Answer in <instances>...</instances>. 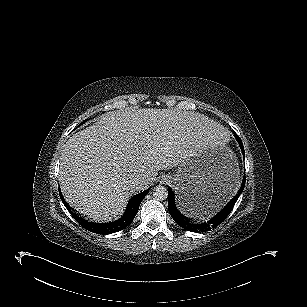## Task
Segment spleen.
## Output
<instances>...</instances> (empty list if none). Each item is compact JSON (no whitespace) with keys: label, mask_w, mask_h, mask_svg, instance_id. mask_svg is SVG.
Here are the masks:
<instances>
[{"label":"spleen","mask_w":307,"mask_h":307,"mask_svg":"<svg viewBox=\"0 0 307 307\" xmlns=\"http://www.w3.org/2000/svg\"><path fill=\"white\" fill-rule=\"evenodd\" d=\"M221 206H219L218 208H210V209H205V210H201L198 213H195V215H191L193 217H199L200 219H206L208 217H210L211 215H213Z\"/></svg>","instance_id":"1"}]
</instances>
